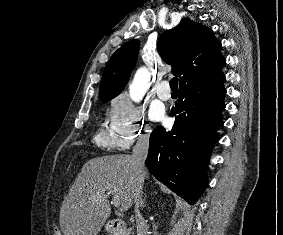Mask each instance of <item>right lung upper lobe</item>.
Segmentation results:
<instances>
[{
    "label": "right lung upper lobe",
    "mask_w": 283,
    "mask_h": 235,
    "mask_svg": "<svg viewBox=\"0 0 283 235\" xmlns=\"http://www.w3.org/2000/svg\"><path fill=\"white\" fill-rule=\"evenodd\" d=\"M138 48L139 42L132 40L112 55L99 86L102 102L121 93L136 63ZM157 48L163 60L173 66V74L180 77V86L216 74L226 62L213 31L189 18L162 33Z\"/></svg>",
    "instance_id": "right-lung-upper-lobe-1"
}]
</instances>
